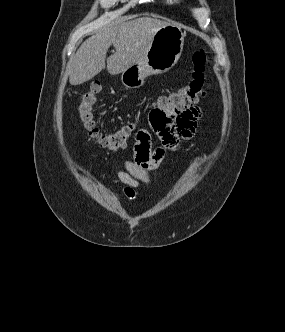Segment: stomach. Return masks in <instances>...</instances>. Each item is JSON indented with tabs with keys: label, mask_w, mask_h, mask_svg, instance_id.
<instances>
[{
	"label": "stomach",
	"mask_w": 285,
	"mask_h": 332,
	"mask_svg": "<svg viewBox=\"0 0 285 332\" xmlns=\"http://www.w3.org/2000/svg\"><path fill=\"white\" fill-rule=\"evenodd\" d=\"M184 37L185 33L173 24L159 29L142 61L122 72L121 82L125 88H139L146 77L170 70L181 56Z\"/></svg>",
	"instance_id": "obj_1"
}]
</instances>
